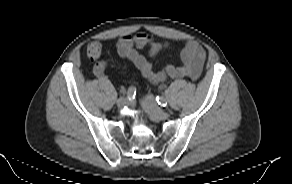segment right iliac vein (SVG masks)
I'll use <instances>...</instances> for the list:
<instances>
[{
	"label": "right iliac vein",
	"instance_id": "right-iliac-vein-1",
	"mask_svg": "<svg viewBox=\"0 0 292 184\" xmlns=\"http://www.w3.org/2000/svg\"><path fill=\"white\" fill-rule=\"evenodd\" d=\"M128 103H129V101H128V99L125 98V97H121V98H119V99L117 100V106H118L119 108L124 107V106L127 105Z\"/></svg>",
	"mask_w": 292,
	"mask_h": 184
}]
</instances>
